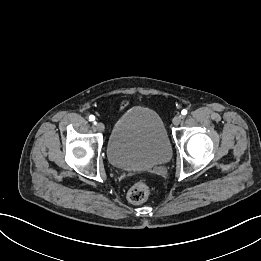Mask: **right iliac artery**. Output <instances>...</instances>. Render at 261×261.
<instances>
[{"instance_id":"1","label":"right iliac artery","mask_w":261,"mask_h":261,"mask_svg":"<svg viewBox=\"0 0 261 261\" xmlns=\"http://www.w3.org/2000/svg\"><path fill=\"white\" fill-rule=\"evenodd\" d=\"M89 120L90 121H92V122H94L95 121V116L94 115H90L89 116ZM96 122H94V124H95Z\"/></svg>"}]
</instances>
